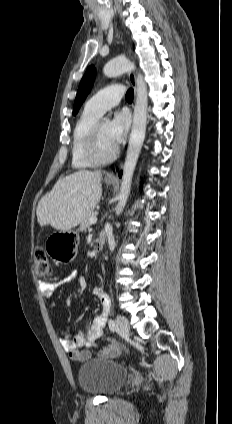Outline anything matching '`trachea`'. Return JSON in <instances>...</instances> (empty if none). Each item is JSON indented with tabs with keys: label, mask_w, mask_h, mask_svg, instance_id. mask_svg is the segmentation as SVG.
Masks as SVG:
<instances>
[{
	"label": "trachea",
	"mask_w": 232,
	"mask_h": 424,
	"mask_svg": "<svg viewBox=\"0 0 232 424\" xmlns=\"http://www.w3.org/2000/svg\"><path fill=\"white\" fill-rule=\"evenodd\" d=\"M134 97V90L133 89H128L127 93H126V100L127 101H132Z\"/></svg>",
	"instance_id": "obj_1"
}]
</instances>
